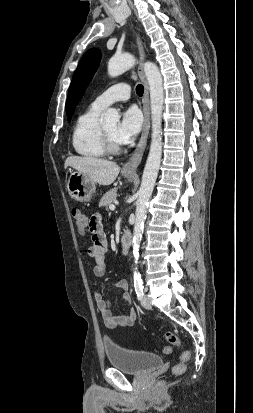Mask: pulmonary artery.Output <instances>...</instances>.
Returning <instances> with one entry per match:
<instances>
[{
  "label": "pulmonary artery",
  "instance_id": "1",
  "mask_svg": "<svg viewBox=\"0 0 253 413\" xmlns=\"http://www.w3.org/2000/svg\"><path fill=\"white\" fill-rule=\"evenodd\" d=\"M131 88L127 83H118L100 94L92 103L97 108L104 109L114 102L126 101L130 98Z\"/></svg>",
  "mask_w": 253,
  "mask_h": 413
}]
</instances>
